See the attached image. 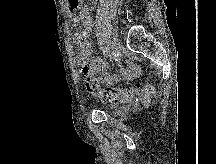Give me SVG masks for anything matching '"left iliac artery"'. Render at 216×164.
Returning a JSON list of instances; mask_svg holds the SVG:
<instances>
[{"label": "left iliac artery", "mask_w": 216, "mask_h": 164, "mask_svg": "<svg viewBox=\"0 0 216 164\" xmlns=\"http://www.w3.org/2000/svg\"><path fill=\"white\" fill-rule=\"evenodd\" d=\"M110 44H111V42L108 41L107 46H110ZM109 48H110L111 51H112V55H110L108 52H107L105 55H107V56H112L113 59L117 60L118 54L115 52L116 50L114 49V47H113L112 45H111ZM115 60H112V59H111L109 62H110L111 64L115 65V64L117 63Z\"/></svg>", "instance_id": "1"}]
</instances>
